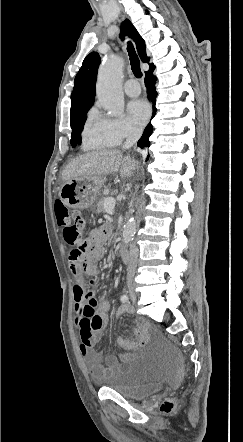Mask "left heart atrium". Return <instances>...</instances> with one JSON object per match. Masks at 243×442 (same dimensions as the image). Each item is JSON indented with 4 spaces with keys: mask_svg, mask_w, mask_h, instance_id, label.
<instances>
[{
    "mask_svg": "<svg viewBox=\"0 0 243 442\" xmlns=\"http://www.w3.org/2000/svg\"><path fill=\"white\" fill-rule=\"evenodd\" d=\"M128 114L135 125L143 126L150 116V107L145 100L135 99L128 104Z\"/></svg>",
    "mask_w": 243,
    "mask_h": 442,
    "instance_id": "1",
    "label": "left heart atrium"
}]
</instances>
